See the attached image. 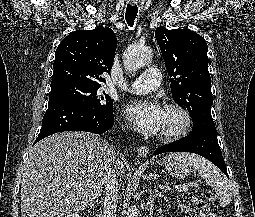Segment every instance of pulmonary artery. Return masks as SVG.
I'll return each mask as SVG.
<instances>
[{
    "label": "pulmonary artery",
    "instance_id": "obj_1",
    "mask_svg": "<svg viewBox=\"0 0 255 217\" xmlns=\"http://www.w3.org/2000/svg\"><path fill=\"white\" fill-rule=\"evenodd\" d=\"M160 84V71L157 68H148L132 81L126 88L127 91L136 94H144L158 87Z\"/></svg>",
    "mask_w": 255,
    "mask_h": 217
}]
</instances>
